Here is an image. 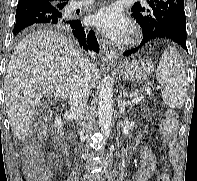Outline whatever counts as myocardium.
<instances>
[{"label":"myocardium","instance_id":"myocardium-1","mask_svg":"<svg viewBox=\"0 0 197 181\" xmlns=\"http://www.w3.org/2000/svg\"><path fill=\"white\" fill-rule=\"evenodd\" d=\"M135 40H136V33L133 32V33H131L130 36L126 39V42H127V43H132V42H134Z\"/></svg>","mask_w":197,"mask_h":181}]
</instances>
